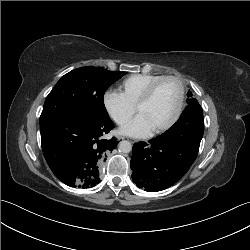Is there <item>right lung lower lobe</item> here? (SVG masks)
Returning a JSON list of instances; mask_svg holds the SVG:
<instances>
[{
    "mask_svg": "<svg viewBox=\"0 0 250 250\" xmlns=\"http://www.w3.org/2000/svg\"><path fill=\"white\" fill-rule=\"evenodd\" d=\"M114 128L107 117L63 116L40 124L44 157L55 176L71 187L100 183V170L116 139H101Z\"/></svg>",
    "mask_w": 250,
    "mask_h": 250,
    "instance_id": "98d812e1",
    "label": "right lung lower lobe"
}]
</instances>
